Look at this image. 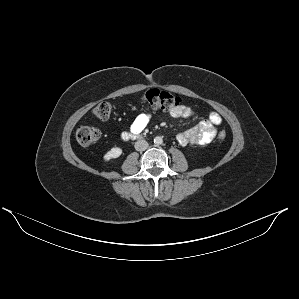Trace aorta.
I'll return each mask as SVG.
<instances>
[{
    "label": "aorta",
    "instance_id": "762f6f07",
    "mask_svg": "<svg viewBox=\"0 0 299 299\" xmlns=\"http://www.w3.org/2000/svg\"><path fill=\"white\" fill-rule=\"evenodd\" d=\"M163 143V139H162V137H160V136H156L155 138H154V144L155 145H161Z\"/></svg>",
    "mask_w": 299,
    "mask_h": 299
}]
</instances>
